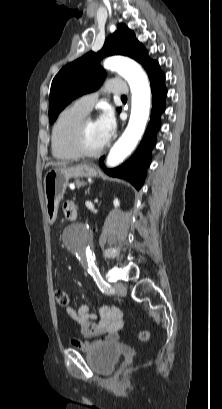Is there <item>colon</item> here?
Returning a JSON list of instances; mask_svg holds the SVG:
<instances>
[{"label": "colon", "instance_id": "colon-1", "mask_svg": "<svg viewBox=\"0 0 222 409\" xmlns=\"http://www.w3.org/2000/svg\"><path fill=\"white\" fill-rule=\"evenodd\" d=\"M55 297L57 304L65 308L69 305L70 297L68 292L65 290L58 289L55 291ZM139 340L141 341H147L149 339V332L147 330H141L138 334Z\"/></svg>", "mask_w": 222, "mask_h": 409}]
</instances>
